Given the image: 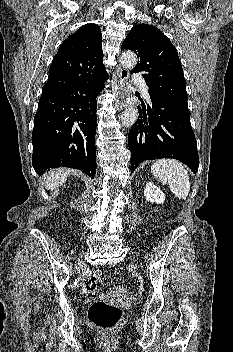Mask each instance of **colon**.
<instances>
[{"label":"colon","instance_id":"1","mask_svg":"<svg viewBox=\"0 0 233 352\" xmlns=\"http://www.w3.org/2000/svg\"><path fill=\"white\" fill-rule=\"evenodd\" d=\"M100 281L99 273L94 272L89 275L83 284V291L86 295L93 296ZM90 322L97 328L110 331L115 328L122 318L120 307L103 300H97L92 303L88 311Z\"/></svg>","mask_w":233,"mask_h":352}]
</instances>
